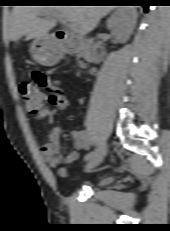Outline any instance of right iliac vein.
I'll list each match as a JSON object with an SVG mask.
<instances>
[{
  "mask_svg": "<svg viewBox=\"0 0 170 231\" xmlns=\"http://www.w3.org/2000/svg\"><path fill=\"white\" fill-rule=\"evenodd\" d=\"M107 154V144L102 142L98 149L95 151V154L88 160V163L85 166L86 171H90L96 166H98L104 159Z\"/></svg>",
  "mask_w": 170,
  "mask_h": 231,
  "instance_id": "1",
  "label": "right iliac vein"
}]
</instances>
